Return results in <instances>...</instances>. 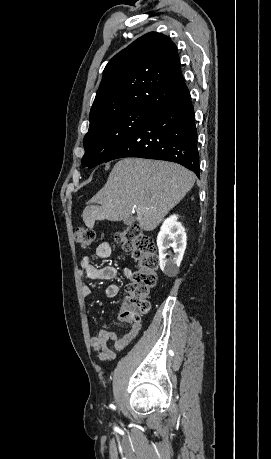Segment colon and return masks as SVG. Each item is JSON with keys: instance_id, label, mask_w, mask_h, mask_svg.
<instances>
[{"instance_id": "obj_1", "label": "colon", "mask_w": 271, "mask_h": 459, "mask_svg": "<svg viewBox=\"0 0 271 459\" xmlns=\"http://www.w3.org/2000/svg\"><path fill=\"white\" fill-rule=\"evenodd\" d=\"M95 236V231L88 227H78L74 231V239L82 248L90 247ZM116 241L138 262L131 282L125 287V301L119 310L123 318L136 323L150 310L149 296L156 284L159 258L153 240L139 225H129L119 231Z\"/></svg>"}]
</instances>
